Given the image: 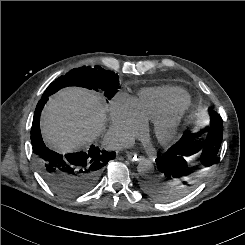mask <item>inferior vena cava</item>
<instances>
[{"mask_svg":"<svg viewBox=\"0 0 245 245\" xmlns=\"http://www.w3.org/2000/svg\"><path fill=\"white\" fill-rule=\"evenodd\" d=\"M134 141L131 139H127V138H118V137H114L111 134H107L104 137V141H103V145L106 149L108 150H120L123 148H129L131 146H133Z\"/></svg>","mask_w":245,"mask_h":245,"instance_id":"obj_1","label":"inferior vena cava"}]
</instances>
